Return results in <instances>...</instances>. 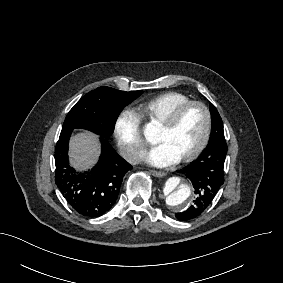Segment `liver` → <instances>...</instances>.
Segmentation results:
<instances>
[{
	"mask_svg": "<svg viewBox=\"0 0 283 283\" xmlns=\"http://www.w3.org/2000/svg\"><path fill=\"white\" fill-rule=\"evenodd\" d=\"M99 145L95 135L83 133L71 140V158L78 168L89 167L98 156Z\"/></svg>",
	"mask_w": 283,
	"mask_h": 283,
	"instance_id": "6515ba94",
	"label": "liver"
}]
</instances>
